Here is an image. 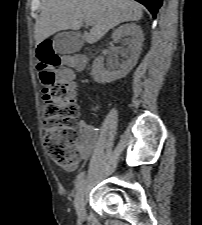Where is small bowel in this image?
I'll use <instances>...</instances> for the list:
<instances>
[{
	"mask_svg": "<svg viewBox=\"0 0 202 225\" xmlns=\"http://www.w3.org/2000/svg\"><path fill=\"white\" fill-rule=\"evenodd\" d=\"M71 84L75 88V83L71 82ZM80 128L82 134L78 143L79 156L82 160H87L99 145L100 140L98 134L89 122L81 121Z\"/></svg>",
	"mask_w": 202,
	"mask_h": 225,
	"instance_id": "1",
	"label": "small bowel"
}]
</instances>
